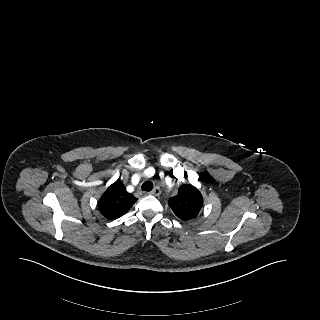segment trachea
Listing matches in <instances>:
<instances>
[{
  "instance_id": "trachea-1",
  "label": "trachea",
  "mask_w": 320,
  "mask_h": 320,
  "mask_svg": "<svg viewBox=\"0 0 320 320\" xmlns=\"http://www.w3.org/2000/svg\"><path fill=\"white\" fill-rule=\"evenodd\" d=\"M141 188H142L143 191L149 192V191L152 190L153 184H152V182H150V181H146V182L143 183V185H142Z\"/></svg>"
}]
</instances>
